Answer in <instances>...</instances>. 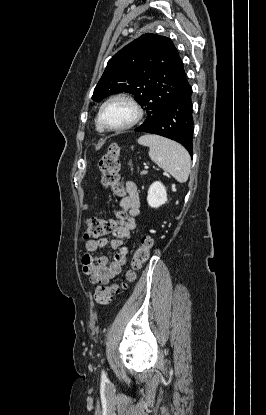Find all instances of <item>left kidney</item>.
Listing matches in <instances>:
<instances>
[{
	"instance_id": "5707ae66",
	"label": "left kidney",
	"mask_w": 266,
	"mask_h": 415,
	"mask_svg": "<svg viewBox=\"0 0 266 415\" xmlns=\"http://www.w3.org/2000/svg\"><path fill=\"white\" fill-rule=\"evenodd\" d=\"M147 202L150 207L158 208L167 202V192L165 186L156 181L149 187Z\"/></svg>"
}]
</instances>
